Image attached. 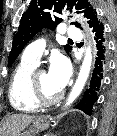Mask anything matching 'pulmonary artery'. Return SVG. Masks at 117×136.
<instances>
[{"instance_id":"e3ab8cb5","label":"pulmonary artery","mask_w":117,"mask_h":136,"mask_svg":"<svg viewBox=\"0 0 117 136\" xmlns=\"http://www.w3.org/2000/svg\"><path fill=\"white\" fill-rule=\"evenodd\" d=\"M63 36L72 40H78L81 38L80 31L73 27H68L63 32ZM46 44L44 41H36L30 44L22 54V60L38 64L40 57L44 51Z\"/></svg>"}]
</instances>
